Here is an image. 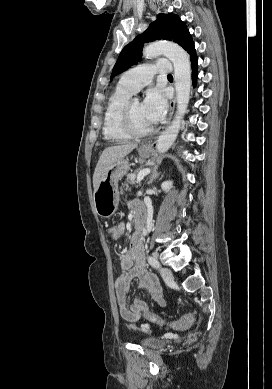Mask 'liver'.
<instances>
[{"label": "liver", "mask_w": 272, "mask_h": 389, "mask_svg": "<svg viewBox=\"0 0 272 389\" xmlns=\"http://www.w3.org/2000/svg\"><path fill=\"white\" fill-rule=\"evenodd\" d=\"M136 147H137V143L129 142L121 145L110 146L104 149V151L99 157L98 163L96 165L93 174L94 191L97 189L102 174L106 170V168L109 167L111 164L123 159L126 155L131 153Z\"/></svg>", "instance_id": "obj_1"}]
</instances>
